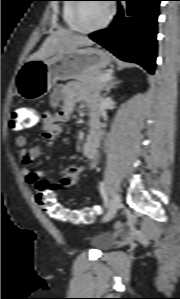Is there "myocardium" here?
<instances>
[{
	"instance_id": "myocardium-1",
	"label": "myocardium",
	"mask_w": 180,
	"mask_h": 299,
	"mask_svg": "<svg viewBox=\"0 0 180 299\" xmlns=\"http://www.w3.org/2000/svg\"><path fill=\"white\" fill-rule=\"evenodd\" d=\"M77 2L74 3L73 10H72V21L77 29L78 32L83 33V34H89V33H94L103 30L106 28L112 21L114 15H115V6L110 0H107V5H108V12L107 16L105 17L104 21L100 23L99 25L95 27H90V28H85L82 27L79 23V9L81 7L82 2L81 0H76Z\"/></svg>"
}]
</instances>
